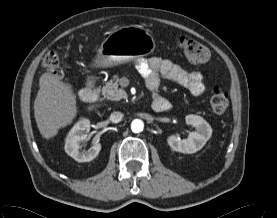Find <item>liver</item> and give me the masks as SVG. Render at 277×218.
I'll return each instance as SVG.
<instances>
[{"label": "liver", "instance_id": "6515ba94", "mask_svg": "<svg viewBox=\"0 0 277 218\" xmlns=\"http://www.w3.org/2000/svg\"><path fill=\"white\" fill-rule=\"evenodd\" d=\"M39 87L34 101V117L42 137L50 139L75 118L78 112L76 95L70 84L51 73L40 77Z\"/></svg>", "mask_w": 277, "mask_h": 218}]
</instances>
